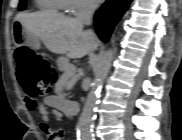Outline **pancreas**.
Segmentation results:
<instances>
[{
    "label": "pancreas",
    "instance_id": "cf45deb5",
    "mask_svg": "<svg viewBox=\"0 0 182 140\" xmlns=\"http://www.w3.org/2000/svg\"><path fill=\"white\" fill-rule=\"evenodd\" d=\"M57 65L60 71L63 72L64 76L70 77L72 75H70L73 72V69H75V67L69 63V59L62 57L59 58L57 61ZM76 72V69L74 71V73Z\"/></svg>",
    "mask_w": 182,
    "mask_h": 140
}]
</instances>
